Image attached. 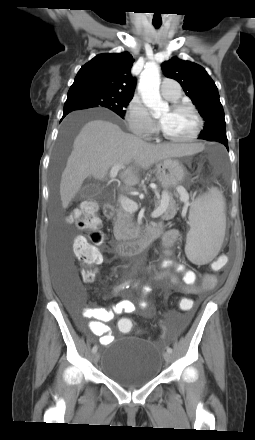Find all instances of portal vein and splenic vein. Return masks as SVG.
Instances as JSON below:
<instances>
[{"label":"portal vein and splenic vein","instance_id":"1","mask_svg":"<svg viewBox=\"0 0 255 440\" xmlns=\"http://www.w3.org/2000/svg\"><path fill=\"white\" fill-rule=\"evenodd\" d=\"M123 168H124V166H123L122 164L114 165V166L111 168V171H110V174H109V175H110V178H111V179H115L116 176H117V174H118V172H119L121 169H123ZM120 204H121V207H122L125 211H127V212L132 213V212H135V211L138 210V204H137L135 201H133V200L129 199L128 197H126V196H121V197H120ZM164 211H165V204H162L160 207L156 208V209L152 212L151 216H152L153 218H157V217H159L160 215H162V213H163Z\"/></svg>","mask_w":255,"mask_h":440}]
</instances>
